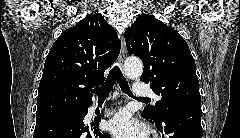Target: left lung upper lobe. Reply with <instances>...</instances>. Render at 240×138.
<instances>
[{"label": "left lung upper lobe", "instance_id": "1", "mask_svg": "<svg viewBox=\"0 0 240 138\" xmlns=\"http://www.w3.org/2000/svg\"><path fill=\"white\" fill-rule=\"evenodd\" d=\"M129 54L140 57L144 64L141 80L151 83L155 94L162 97L144 114L157 120L166 109L179 102L201 101L195 61L186 41L174 29L149 14H141L125 32Z\"/></svg>", "mask_w": 240, "mask_h": 138}]
</instances>
